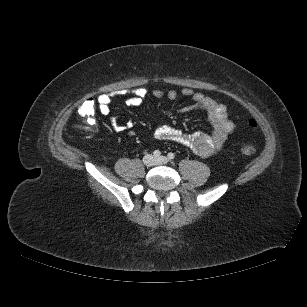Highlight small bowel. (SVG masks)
<instances>
[{"mask_svg":"<svg viewBox=\"0 0 307 307\" xmlns=\"http://www.w3.org/2000/svg\"><path fill=\"white\" fill-rule=\"evenodd\" d=\"M151 96L157 99L167 98L175 100L178 93L175 90L167 92L153 90ZM181 94L192 100V104L182 107V113H193L203 111L207 114L213 130L211 133H196L192 135L183 134L180 130L166 124L159 125L154 130V137L159 140H169L179 143L189 148L194 154L200 157H209L222 149L228 137L234 131V123L229 119L226 107L214 99L204 96L190 88L182 90ZM149 92L144 88H138L133 91L132 96L126 100L128 106L138 107L143 105ZM112 95L101 94L97 97L96 103L100 113L104 116L110 114V103ZM112 128L117 132H123L131 129V124H120L116 118H110Z\"/></svg>","mask_w":307,"mask_h":307,"instance_id":"c3829d8e","label":"small bowel"}]
</instances>
